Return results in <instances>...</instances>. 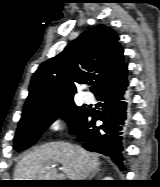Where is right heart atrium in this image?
Here are the masks:
<instances>
[{"label":"right heart atrium","instance_id":"d8ad5b80","mask_svg":"<svg viewBox=\"0 0 160 187\" xmlns=\"http://www.w3.org/2000/svg\"><path fill=\"white\" fill-rule=\"evenodd\" d=\"M62 120L60 118H54L48 123V128L51 131H58L62 128Z\"/></svg>","mask_w":160,"mask_h":187}]
</instances>
